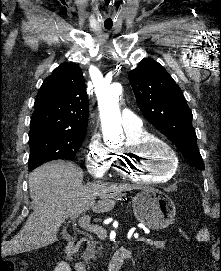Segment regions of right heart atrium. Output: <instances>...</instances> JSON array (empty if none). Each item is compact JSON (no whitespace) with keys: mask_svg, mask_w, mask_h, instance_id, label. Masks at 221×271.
I'll return each mask as SVG.
<instances>
[{"mask_svg":"<svg viewBox=\"0 0 221 271\" xmlns=\"http://www.w3.org/2000/svg\"><path fill=\"white\" fill-rule=\"evenodd\" d=\"M89 155L86 166L95 171L96 177H105L106 173H112L115 159L118 154H111V151H98V146H89Z\"/></svg>","mask_w":221,"mask_h":271,"instance_id":"1","label":"right heart atrium"}]
</instances>
